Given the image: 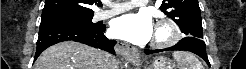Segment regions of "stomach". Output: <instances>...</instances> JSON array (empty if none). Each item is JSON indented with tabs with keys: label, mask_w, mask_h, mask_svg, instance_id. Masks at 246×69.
Masks as SVG:
<instances>
[{
	"label": "stomach",
	"mask_w": 246,
	"mask_h": 69,
	"mask_svg": "<svg viewBox=\"0 0 246 69\" xmlns=\"http://www.w3.org/2000/svg\"><path fill=\"white\" fill-rule=\"evenodd\" d=\"M141 69H175L174 65L165 57H157L152 63H146L141 65Z\"/></svg>",
	"instance_id": "0dacf381"
}]
</instances>
